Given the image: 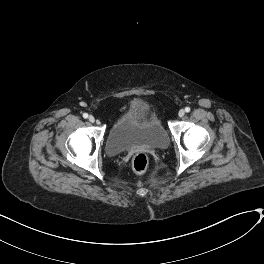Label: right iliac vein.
<instances>
[{"instance_id": "1", "label": "right iliac vein", "mask_w": 264, "mask_h": 264, "mask_svg": "<svg viewBox=\"0 0 264 264\" xmlns=\"http://www.w3.org/2000/svg\"><path fill=\"white\" fill-rule=\"evenodd\" d=\"M89 121L91 122V123H94L95 122V117L94 116H89Z\"/></svg>"}]
</instances>
